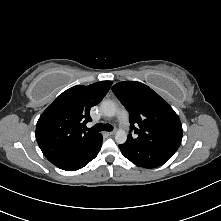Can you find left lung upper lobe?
<instances>
[{"mask_svg": "<svg viewBox=\"0 0 221 221\" xmlns=\"http://www.w3.org/2000/svg\"><path fill=\"white\" fill-rule=\"evenodd\" d=\"M130 114V129L137 137L127 141L143 147L176 152L182 141V125L172 107L147 85L125 81L112 87Z\"/></svg>", "mask_w": 221, "mask_h": 221, "instance_id": "left-lung-upper-lobe-1", "label": "left lung upper lobe"}]
</instances>
